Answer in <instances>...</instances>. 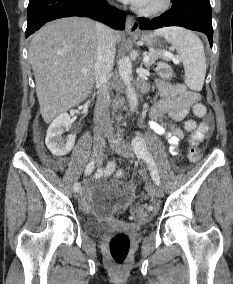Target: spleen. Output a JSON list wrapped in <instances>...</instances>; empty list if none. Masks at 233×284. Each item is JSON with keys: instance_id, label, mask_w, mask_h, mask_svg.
Wrapping results in <instances>:
<instances>
[{"instance_id": "spleen-1", "label": "spleen", "mask_w": 233, "mask_h": 284, "mask_svg": "<svg viewBox=\"0 0 233 284\" xmlns=\"http://www.w3.org/2000/svg\"><path fill=\"white\" fill-rule=\"evenodd\" d=\"M175 49L183 63L185 83L193 91H201L206 75V57L199 37L181 27H167L156 31Z\"/></svg>"}]
</instances>
